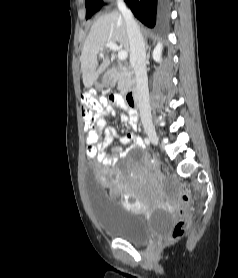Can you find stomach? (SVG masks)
Instances as JSON below:
<instances>
[{"instance_id": "obj_1", "label": "stomach", "mask_w": 238, "mask_h": 278, "mask_svg": "<svg viewBox=\"0 0 238 278\" xmlns=\"http://www.w3.org/2000/svg\"><path fill=\"white\" fill-rule=\"evenodd\" d=\"M116 82V78L113 76L112 72L108 71L104 74L102 85L108 87Z\"/></svg>"}]
</instances>
